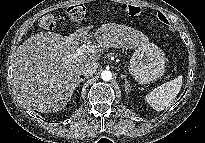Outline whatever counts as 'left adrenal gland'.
I'll return each instance as SVG.
<instances>
[{
    "instance_id": "1",
    "label": "left adrenal gland",
    "mask_w": 205,
    "mask_h": 143,
    "mask_svg": "<svg viewBox=\"0 0 205 143\" xmlns=\"http://www.w3.org/2000/svg\"><path fill=\"white\" fill-rule=\"evenodd\" d=\"M122 78H124V81H125V84H124V87H125V91L127 93L130 92V84H129V81L127 80L126 76L125 75H121Z\"/></svg>"
}]
</instances>
